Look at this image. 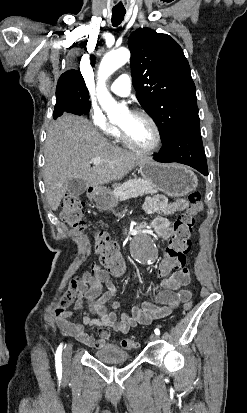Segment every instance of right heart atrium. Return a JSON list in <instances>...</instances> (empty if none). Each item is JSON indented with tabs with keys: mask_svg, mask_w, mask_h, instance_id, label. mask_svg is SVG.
Masks as SVG:
<instances>
[{
	"mask_svg": "<svg viewBox=\"0 0 247 413\" xmlns=\"http://www.w3.org/2000/svg\"><path fill=\"white\" fill-rule=\"evenodd\" d=\"M90 117L93 119L94 123L98 127V131L104 134H117L118 129L106 121L103 115V108L101 105H92L90 108Z\"/></svg>",
	"mask_w": 247,
	"mask_h": 413,
	"instance_id": "1",
	"label": "right heart atrium"
}]
</instances>
